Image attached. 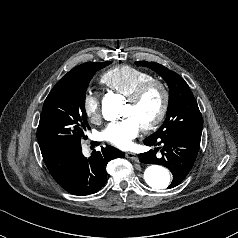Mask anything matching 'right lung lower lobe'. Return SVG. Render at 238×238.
<instances>
[{
    "instance_id": "98d812e1",
    "label": "right lung lower lobe",
    "mask_w": 238,
    "mask_h": 238,
    "mask_svg": "<svg viewBox=\"0 0 238 238\" xmlns=\"http://www.w3.org/2000/svg\"><path fill=\"white\" fill-rule=\"evenodd\" d=\"M117 157H124V153L112 146H106L86 158L82 154L81 144L43 155L54 180L67 192L78 196L99 191L107 180L106 165Z\"/></svg>"
}]
</instances>
